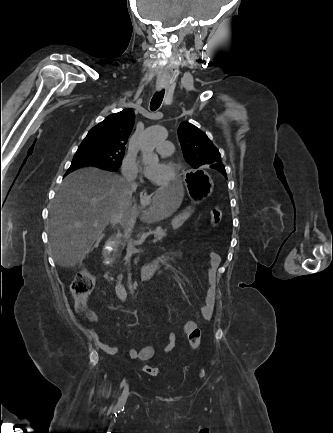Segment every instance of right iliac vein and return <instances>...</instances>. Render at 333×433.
I'll return each instance as SVG.
<instances>
[{"label": "right iliac vein", "instance_id": "obj_1", "mask_svg": "<svg viewBox=\"0 0 333 433\" xmlns=\"http://www.w3.org/2000/svg\"><path fill=\"white\" fill-rule=\"evenodd\" d=\"M125 388H129L128 384L125 386Z\"/></svg>", "mask_w": 333, "mask_h": 433}]
</instances>
